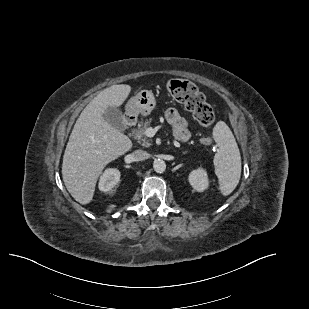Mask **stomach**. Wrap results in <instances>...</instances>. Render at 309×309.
Segmentation results:
<instances>
[{
  "instance_id": "0dacf381",
  "label": "stomach",
  "mask_w": 309,
  "mask_h": 309,
  "mask_svg": "<svg viewBox=\"0 0 309 309\" xmlns=\"http://www.w3.org/2000/svg\"><path fill=\"white\" fill-rule=\"evenodd\" d=\"M156 106L155 97L150 90H141L127 103V111L135 116H148Z\"/></svg>"
}]
</instances>
